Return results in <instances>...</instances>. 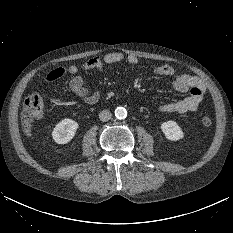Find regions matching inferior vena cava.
Returning a JSON list of instances; mask_svg holds the SVG:
<instances>
[{
	"mask_svg": "<svg viewBox=\"0 0 233 233\" xmlns=\"http://www.w3.org/2000/svg\"><path fill=\"white\" fill-rule=\"evenodd\" d=\"M111 112L109 110H102L99 113V118L101 121L106 122L109 121L111 119Z\"/></svg>",
	"mask_w": 233,
	"mask_h": 233,
	"instance_id": "inferior-vena-cava-1",
	"label": "inferior vena cava"
}]
</instances>
